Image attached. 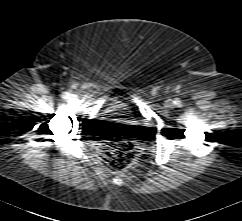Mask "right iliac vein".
<instances>
[{
	"mask_svg": "<svg viewBox=\"0 0 242 221\" xmlns=\"http://www.w3.org/2000/svg\"><path fill=\"white\" fill-rule=\"evenodd\" d=\"M70 99H71V100H75V97L71 96Z\"/></svg>",
	"mask_w": 242,
	"mask_h": 221,
	"instance_id": "obj_1",
	"label": "right iliac vein"
}]
</instances>
